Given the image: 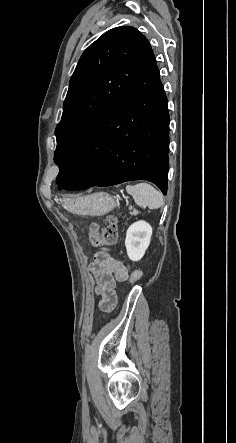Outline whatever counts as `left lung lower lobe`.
Instances as JSON below:
<instances>
[{"mask_svg":"<svg viewBox=\"0 0 236 443\" xmlns=\"http://www.w3.org/2000/svg\"><path fill=\"white\" fill-rule=\"evenodd\" d=\"M169 113L154 54L60 169L66 190L148 180L167 193Z\"/></svg>","mask_w":236,"mask_h":443,"instance_id":"obj_1","label":"left lung lower lobe"}]
</instances>
